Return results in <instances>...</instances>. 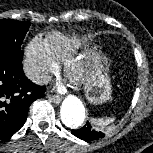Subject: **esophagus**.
I'll use <instances>...</instances> for the list:
<instances>
[{
	"label": "esophagus",
	"mask_w": 153,
	"mask_h": 153,
	"mask_svg": "<svg viewBox=\"0 0 153 153\" xmlns=\"http://www.w3.org/2000/svg\"><path fill=\"white\" fill-rule=\"evenodd\" d=\"M47 97L54 103L59 104L62 100L60 96L47 94Z\"/></svg>",
	"instance_id": "34e87169"
}]
</instances>
